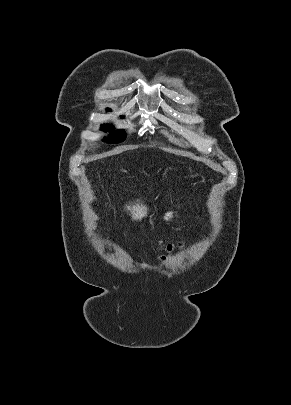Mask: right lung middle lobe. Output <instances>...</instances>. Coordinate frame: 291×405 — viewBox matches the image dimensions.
Segmentation results:
<instances>
[{"mask_svg": "<svg viewBox=\"0 0 291 405\" xmlns=\"http://www.w3.org/2000/svg\"><path fill=\"white\" fill-rule=\"evenodd\" d=\"M102 130H107V131H112L113 130V126L106 124V125H102L101 126ZM126 137V133L123 130H117V132L112 133L111 136L105 138V141L108 143H119L122 142Z\"/></svg>", "mask_w": 291, "mask_h": 405, "instance_id": "right-lung-middle-lobe-1", "label": "right lung middle lobe"}]
</instances>
